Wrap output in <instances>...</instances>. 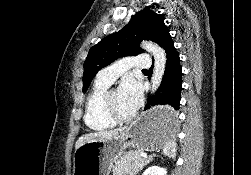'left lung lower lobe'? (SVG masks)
<instances>
[{
	"label": "left lung lower lobe",
	"mask_w": 251,
	"mask_h": 175,
	"mask_svg": "<svg viewBox=\"0 0 251 175\" xmlns=\"http://www.w3.org/2000/svg\"><path fill=\"white\" fill-rule=\"evenodd\" d=\"M160 46L165 49L167 62L164 76L155 95L148 99L144 110H148L145 123L150 126H166L177 122L181 90L182 73L179 54L169 32L164 36ZM150 77V76H149Z\"/></svg>",
	"instance_id": "obj_1"
}]
</instances>
